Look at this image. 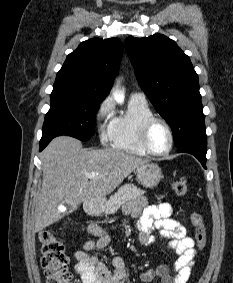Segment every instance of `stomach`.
<instances>
[{"label": "stomach", "instance_id": "1", "mask_svg": "<svg viewBox=\"0 0 233 283\" xmlns=\"http://www.w3.org/2000/svg\"><path fill=\"white\" fill-rule=\"evenodd\" d=\"M138 181L146 188L156 187L161 178L162 172L160 167L155 163H145L136 169Z\"/></svg>", "mask_w": 233, "mask_h": 283}]
</instances>
